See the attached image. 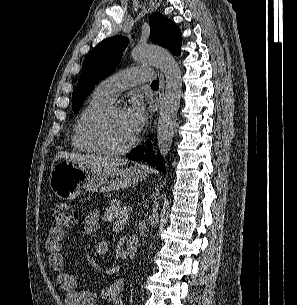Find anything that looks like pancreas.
Instances as JSON below:
<instances>
[{"label":"pancreas","mask_w":297,"mask_h":305,"mask_svg":"<svg viewBox=\"0 0 297 305\" xmlns=\"http://www.w3.org/2000/svg\"><path fill=\"white\" fill-rule=\"evenodd\" d=\"M127 217L125 208L118 199H113L110 206L106 209L104 214V219L108 222H113L114 220L122 221Z\"/></svg>","instance_id":"1"}]
</instances>
